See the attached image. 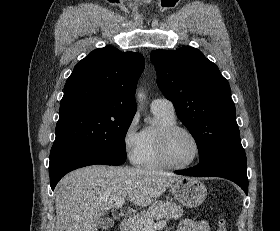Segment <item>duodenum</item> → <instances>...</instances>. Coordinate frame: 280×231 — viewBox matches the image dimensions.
Listing matches in <instances>:
<instances>
[{"label": "duodenum", "instance_id": "1", "mask_svg": "<svg viewBox=\"0 0 280 231\" xmlns=\"http://www.w3.org/2000/svg\"><path fill=\"white\" fill-rule=\"evenodd\" d=\"M131 223H132V221L130 218L122 219L119 224V230L120 231H130Z\"/></svg>", "mask_w": 280, "mask_h": 231}]
</instances>
